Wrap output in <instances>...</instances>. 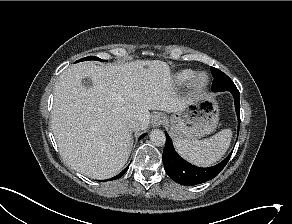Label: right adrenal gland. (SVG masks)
Segmentation results:
<instances>
[{
  "instance_id": "right-adrenal-gland-1",
  "label": "right adrenal gland",
  "mask_w": 292,
  "mask_h": 224,
  "mask_svg": "<svg viewBox=\"0 0 292 224\" xmlns=\"http://www.w3.org/2000/svg\"><path fill=\"white\" fill-rule=\"evenodd\" d=\"M133 145V137H132V135H131V146Z\"/></svg>"
}]
</instances>
